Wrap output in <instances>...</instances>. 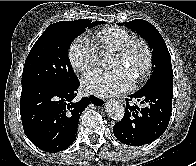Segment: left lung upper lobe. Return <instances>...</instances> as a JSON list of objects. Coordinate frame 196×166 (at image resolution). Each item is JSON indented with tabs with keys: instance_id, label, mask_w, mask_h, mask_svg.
I'll use <instances>...</instances> for the list:
<instances>
[{
	"instance_id": "1",
	"label": "left lung upper lobe",
	"mask_w": 196,
	"mask_h": 166,
	"mask_svg": "<svg viewBox=\"0 0 196 166\" xmlns=\"http://www.w3.org/2000/svg\"><path fill=\"white\" fill-rule=\"evenodd\" d=\"M124 24L145 38L153 51V72L151 78L143 88L155 83H173L171 56L158 30L151 23L143 19H136L126 23L123 22L119 25Z\"/></svg>"
}]
</instances>
